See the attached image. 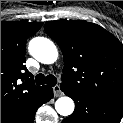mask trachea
<instances>
[{
	"label": "trachea",
	"instance_id": "trachea-1",
	"mask_svg": "<svg viewBox=\"0 0 123 123\" xmlns=\"http://www.w3.org/2000/svg\"><path fill=\"white\" fill-rule=\"evenodd\" d=\"M56 83H57V79L52 74L44 76L43 74L40 73V74L36 75V84L37 85L48 84L50 86H55Z\"/></svg>",
	"mask_w": 123,
	"mask_h": 123
}]
</instances>
